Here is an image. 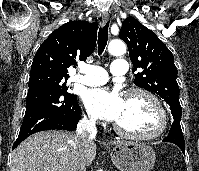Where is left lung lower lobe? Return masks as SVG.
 Masks as SVG:
<instances>
[{
    "mask_svg": "<svg viewBox=\"0 0 199 171\" xmlns=\"http://www.w3.org/2000/svg\"><path fill=\"white\" fill-rule=\"evenodd\" d=\"M163 141L176 144L182 150V152L185 153V141L180 126V120L174 119L169 131V135L168 137L164 138Z\"/></svg>",
    "mask_w": 199,
    "mask_h": 171,
    "instance_id": "0a47b994",
    "label": "left lung lower lobe"
}]
</instances>
